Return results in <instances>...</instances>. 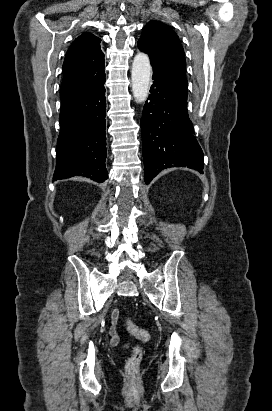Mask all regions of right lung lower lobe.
Returning <instances> with one entry per match:
<instances>
[{"label":"right lung lower lobe","mask_w":272,"mask_h":411,"mask_svg":"<svg viewBox=\"0 0 272 411\" xmlns=\"http://www.w3.org/2000/svg\"><path fill=\"white\" fill-rule=\"evenodd\" d=\"M104 83L105 78L91 89L61 99L54 180L82 175L101 183L108 178Z\"/></svg>","instance_id":"1"}]
</instances>
